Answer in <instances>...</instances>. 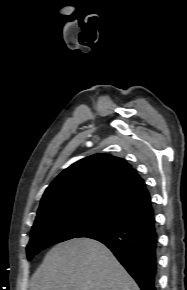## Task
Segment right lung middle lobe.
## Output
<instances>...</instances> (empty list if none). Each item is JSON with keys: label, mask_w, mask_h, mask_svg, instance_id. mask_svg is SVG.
<instances>
[{"label": "right lung middle lobe", "mask_w": 187, "mask_h": 290, "mask_svg": "<svg viewBox=\"0 0 187 290\" xmlns=\"http://www.w3.org/2000/svg\"><path fill=\"white\" fill-rule=\"evenodd\" d=\"M128 221L115 210L104 206H82L44 215L35 220L27 257L31 260L41 250L72 238L117 227Z\"/></svg>", "instance_id": "1"}]
</instances>
